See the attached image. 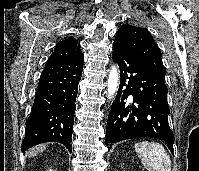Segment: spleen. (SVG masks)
<instances>
[{
	"mask_svg": "<svg viewBox=\"0 0 199 171\" xmlns=\"http://www.w3.org/2000/svg\"><path fill=\"white\" fill-rule=\"evenodd\" d=\"M135 151L148 171H171L170 156L161 144L138 142Z\"/></svg>",
	"mask_w": 199,
	"mask_h": 171,
	"instance_id": "3e777b00",
	"label": "spleen"
}]
</instances>
